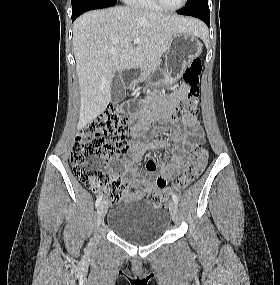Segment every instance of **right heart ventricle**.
Returning a JSON list of instances; mask_svg holds the SVG:
<instances>
[{
	"label": "right heart ventricle",
	"instance_id": "e07e8e85",
	"mask_svg": "<svg viewBox=\"0 0 280 285\" xmlns=\"http://www.w3.org/2000/svg\"><path fill=\"white\" fill-rule=\"evenodd\" d=\"M130 5L147 11H162L154 0H126Z\"/></svg>",
	"mask_w": 280,
	"mask_h": 285
}]
</instances>
